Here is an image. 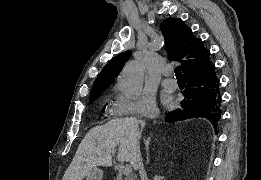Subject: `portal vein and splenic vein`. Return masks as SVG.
I'll return each mask as SVG.
<instances>
[{
  "mask_svg": "<svg viewBox=\"0 0 261 180\" xmlns=\"http://www.w3.org/2000/svg\"><path fill=\"white\" fill-rule=\"evenodd\" d=\"M122 174H124V176H131V168H129V166H124V168H122Z\"/></svg>",
  "mask_w": 261,
  "mask_h": 180,
  "instance_id": "18ae733b",
  "label": "portal vein and splenic vein"
}]
</instances>
